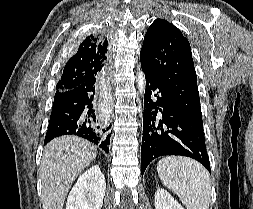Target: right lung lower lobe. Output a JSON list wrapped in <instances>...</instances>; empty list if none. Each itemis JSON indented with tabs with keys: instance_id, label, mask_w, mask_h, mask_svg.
<instances>
[{
	"instance_id": "1",
	"label": "right lung lower lobe",
	"mask_w": 253,
	"mask_h": 209,
	"mask_svg": "<svg viewBox=\"0 0 253 209\" xmlns=\"http://www.w3.org/2000/svg\"><path fill=\"white\" fill-rule=\"evenodd\" d=\"M97 77L55 94L44 143L63 135L87 139L109 152L110 126L101 121L95 109Z\"/></svg>"
}]
</instances>
